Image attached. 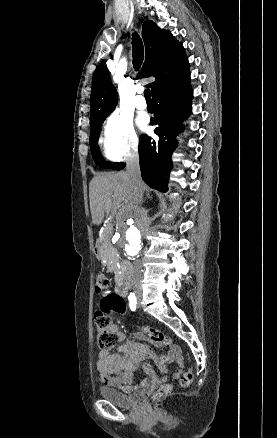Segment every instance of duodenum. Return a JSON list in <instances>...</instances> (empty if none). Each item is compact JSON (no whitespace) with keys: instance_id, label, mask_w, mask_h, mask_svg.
<instances>
[{"instance_id":"duodenum-1","label":"duodenum","mask_w":277,"mask_h":438,"mask_svg":"<svg viewBox=\"0 0 277 438\" xmlns=\"http://www.w3.org/2000/svg\"><path fill=\"white\" fill-rule=\"evenodd\" d=\"M94 253L96 255V257H100L101 256V247H100V243H96L94 246ZM130 271V264L127 261H124L122 263V272L121 275H119L117 277V281H116V292L118 294H120L121 296H125L128 292V285H127V275L129 274Z\"/></svg>"}]
</instances>
